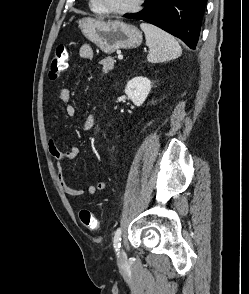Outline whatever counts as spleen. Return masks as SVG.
<instances>
[{
    "label": "spleen",
    "instance_id": "obj_1",
    "mask_svg": "<svg viewBox=\"0 0 249 294\" xmlns=\"http://www.w3.org/2000/svg\"><path fill=\"white\" fill-rule=\"evenodd\" d=\"M140 27L145 33L146 45L149 47L147 60L150 63L176 59L181 55L182 49L172 35L149 23H141Z\"/></svg>",
    "mask_w": 249,
    "mask_h": 294
}]
</instances>
